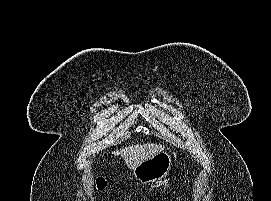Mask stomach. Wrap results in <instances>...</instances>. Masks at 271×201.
I'll return each instance as SVG.
<instances>
[{
	"label": "stomach",
	"instance_id": "obj_1",
	"mask_svg": "<svg viewBox=\"0 0 271 201\" xmlns=\"http://www.w3.org/2000/svg\"><path fill=\"white\" fill-rule=\"evenodd\" d=\"M172 158L162 151L133 168V175L141 183H154L164 178L170 171Z\"/></svg>",
	"mask_w": 271,
	"mask_h": 201
}]
</instances>
